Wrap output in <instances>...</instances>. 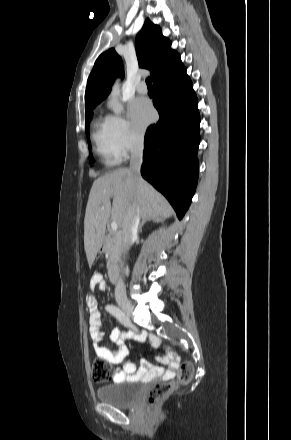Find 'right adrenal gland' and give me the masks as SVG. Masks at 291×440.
<instances>
[{
  "mask_svg": "<svg viewBox=\"0 0 291 440\" xmlns=\"http://www.w3.org/2000/svg\"><path fill=\"white\" fill-rule=\"evenodd\" d=\"M147 221H152V222H159L162 221V217H155L152 219H143L142 222L139 225L138 231H141L143 225L147 222Z\"/></svg>",
  "mask_w": 291,
  "mask_h": 440,
  "instance_id": "2a0ac1e0",
  "label": "right adrenal gland"
}]
</instances>
